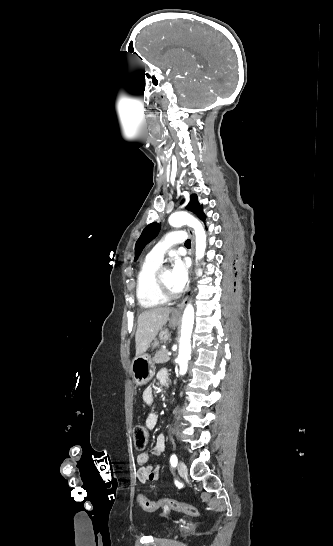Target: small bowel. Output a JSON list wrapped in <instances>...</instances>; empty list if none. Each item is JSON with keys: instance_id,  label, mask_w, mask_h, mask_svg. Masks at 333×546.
I'll return each mask as SVG.
<instances>
[{"instance_id": "1", "label": "small bowel", "mask_w": 333, "mask_h": 546, "mask_svg": "<svg viewBox=\"0 0 333 546\" xmlns=\"http://www.w3.org/2000/svg\"><path fill=\"white\" fill-rule=\"evenodd\" d=\"M157 380L160 384L167 386L169 384V375L166 369H161L157 373ZM143 402L151 406L155 401V394L152 388H146L142 394ZM158 422V415L156 412H150L145 418V425L148 429H154ZM165 449V436L159 434L156 439L154 446L152 448L153 455H160ZM150 456L148 453L142 452L139 453L136 457V462L139 465V469L136 473L138 480L141 483H147L149 481H157L160 477L161 468L154 467L149 464Z\"/></svg>"}]
</instances>
